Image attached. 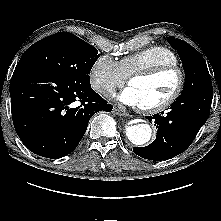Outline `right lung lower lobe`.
I'll use <instances>...</instances> for the list:
<instances>
[{
	"instance_id": "98d812e1",
	"label": "right lung lower lobe",
	"mask_w": 221,
	"mask_h": 221,
	"mask_svg": "<svg viewBox=\"0 0 221 221\" xmlns=\"http://www.w3.org/2000/svg\"><path fill=\"white\" fill-rule=\"evenodd\" d=\"M10 96L19 138L33 153L51 159L64 157L78 146L93 114L112 110L91 85L67 81L29 62L17 64ZM75 101L81 105L73 108Z\"/></svg>"
}]
</instances>
